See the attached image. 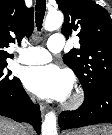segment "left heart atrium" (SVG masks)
Returning a JSON list of instances; mask_svg holds the SVG:
<instances>
[{"mask_svg":"<svg viewBox=\"0 0 112 135\" xmlns=\"http://www.w3.org/2000/svg\"><path fill=\"white\" fill-rule=\"evenodd\" d=\"M21 80L34 94L46 99H65L72 89V76L55 65L30 66L23 70Z\"/></svg>","mask_w":112,"mask_h":135,"instance_id":"39dd6f15","label":"left heart atrium"}]
</instances>
